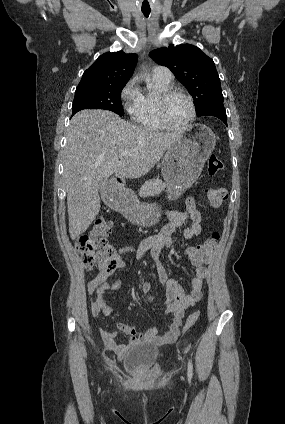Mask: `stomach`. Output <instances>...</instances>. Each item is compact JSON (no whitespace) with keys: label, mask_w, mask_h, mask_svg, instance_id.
<instances>
[{"label":"stomach","mask_w":285,"mask_h":424,"mask_svg":"<svg viewBox=\"0 0 285 424\" xmlns=\"http://www.w3.org/2000/svg\"><path fill=\"white\" fill-rule=\"evenodd\" d=\"M215 143L216 137L209 127L194 124L187 135H181L167 150L162 160L161 172L169 197H176L192 186L211 155ZM114 206L127 218L143 225H152L158 222L160 217L155 204L141 203L134 197L120 195Z\"/></svg>","instance_id":"obj_1"}]
</instances>
